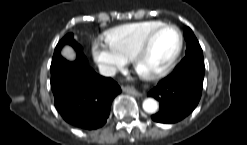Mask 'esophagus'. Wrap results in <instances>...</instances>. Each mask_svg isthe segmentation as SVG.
I'll list each match as a JSON object with an SVG mask.
<instances>
[{"instance_id":"1","label":"esophagus","mask_w":247,"mask_h":145,"mask_svg":"<svg viewBox=\"0 0 247 145\" xmlns=\"http://www.w3.org/2000/svg\"><path fill=\"white\" fill-rule=\"evenodd\" d=\"M122 90L126 93H129L133 96H136V97H140L142 96V94L140 92H138L134 87L132 86H124L122 87Z\"/></svg>"}]
</instances>
